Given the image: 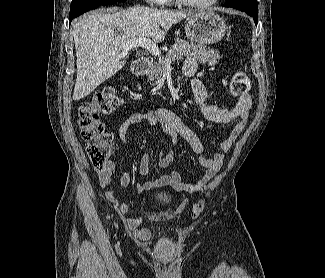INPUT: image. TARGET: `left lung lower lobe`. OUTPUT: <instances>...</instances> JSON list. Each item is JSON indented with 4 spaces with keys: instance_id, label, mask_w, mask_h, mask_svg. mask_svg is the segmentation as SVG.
I'll list each match as a JSON object with an SVG mask.
<instances>
[{
    "instance_id": "left-lung-lower-lobe-1",
    "label": "left lung lower lobe",
    "mask_w": 325,
    "mask_h": 278,
    "mask_svg": "<svg viewBox=\"0 0 325 278\" xmlns=\"http://www.w3.org/2000/svg\"><path fill=\"white\" fill-rule=\"evenodd\" d=\"M222 6L235 8L246 12L248 15L252 16L255 24L258 23V3L257 0H228Z\"/></svg>"
}]
</instances>
